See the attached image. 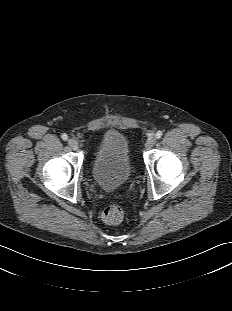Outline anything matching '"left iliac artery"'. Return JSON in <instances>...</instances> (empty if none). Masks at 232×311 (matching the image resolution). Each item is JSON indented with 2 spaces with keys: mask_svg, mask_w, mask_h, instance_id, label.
<instances>
[{
  "mask_svg": "<svg viewBox=\"0 0 232 311\" xmlns=\"http://www.w3.org/2000/svg\"><path fill=\"white\" fill-rule=\"evenodd\" d=\"M162 135H163L162 131H158V132L156 133L155 137H156L157 139H159V138H161Z\"/></svg>",
  "mask_w": 232,
  "mask_h": 311,
  "instance_id": "obj_1",
  "label": "left iliac artery"
}]
</instances>
